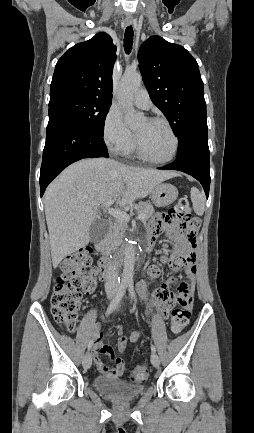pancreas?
<instances>
[{"mask_svg":"<svg viewBox=\"0 0 254 433\" xmlns=\"http://www.w3.org/2000/svg\"><path fill=\"white\" fill-rule=\"evenodd\" d=\"M138 213L145 215L144 220L150 218L154 214L153 206L148 202H140L137 208ZM127 229V222L116 219L112 227V231L109 234V241L112 244H119L122 242L125 231Z\"/></svg>","mask_w":254,"mask_h":433,"instance_id":"obj_1","label":"pancreas"}]
</instances>
